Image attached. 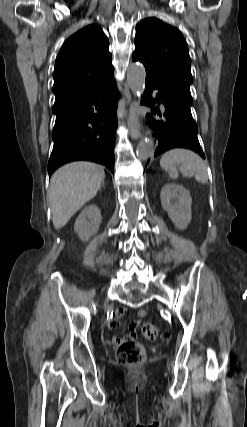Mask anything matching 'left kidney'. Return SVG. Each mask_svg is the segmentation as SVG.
Listing matches in <instances>:
<instances>
[{"label":"left kidney","mask_w":247,"mask_h":427,"mask_svg":"<svg viewBox=\"0 0 247 427\" xmlns=\"http://www.w3.org/2000/svg\"><path fill=\"white\" fill-rule=\"evenodd\" d=\"M163 210L168 213L175 227L180 230L187 228L192 218V198L190 192L175 183L165 184L160 194ZM177 200L178 202H173Z\"/></svg>","instance_id":"obj_1"}]
</instances>
